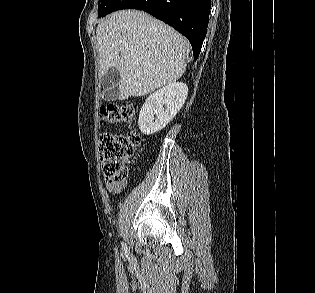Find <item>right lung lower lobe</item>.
<instances>
[{
  "label": "right lung lower lobe",
  "mask_w": 315,
  "mask_h": 293,
  "mask_svg": "<svg viewBox=\"0 0 315 293\" xmlns=\"http://www.w3.org/2000/svg\"><path fill=\"white\" fill-rule=\"evenodd\" d=\"M211 0H112L105 16L121 9H138L164 21L190 41L194 59L207 32Z\"/></svg>",
  "instance_id": "obj_1"
}]
</instances>
